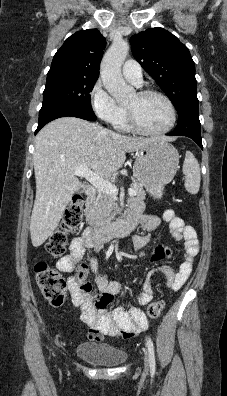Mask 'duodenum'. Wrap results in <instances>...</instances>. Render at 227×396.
I'll use <instances>...</instances> for the list:
<instances>
[{
  "label": "duodenum",
  "mask_w": 227,
  "mask_h": 396,
  "mask_svg": "<svg viewBox=\"0 0 227 396\" xmlns=\"http://www.w3.org/2000/svg\"><path fill=\"white\" fill-rule=\"evenodd\" d=\"M95 196L96 189L92 186L88 187L86 190V202L91 203ZM135 225V221L131 217H127L124 220L89 230L87 238L93 246L98 247L115 237L129 234Z\"/></svg>",
  "instance_id": "duodenum-1"
}]
</instances>
